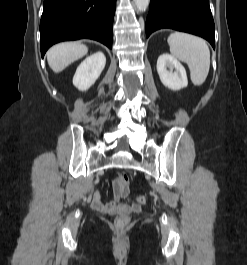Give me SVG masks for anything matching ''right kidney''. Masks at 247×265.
<instances>
[{
	"label": "right kidney",
	"mask_w": 247,
	"mask_h": 265,
	"mask_svg": "<svg viewBox=\"0 0 247 265\" xmlns=\"http://www.w3.org/2000/svg\"><path fill=\"white\" fill-rule=\"evenodd\" d=\"M105 64L106 58L102 52L90 55L78 66L73 77V85L80 91H86L99 78Z\"/></svg>",
	"instance_id": "obj_1"
}]
</instances>
